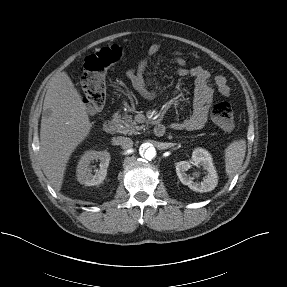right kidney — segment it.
I'll use <instances>...</instances> for the list:
<instances>
[{"mask_svg": "<svg viewBox=\"0 0 287 287\" xmlns=\"http://www.w3.org/2000/svg\"><path fill=\"white\" fill-rule=\"evenodd\" d=\"M94 160L100 161V168L92 174L91 162ZM110 153L107 151H86L77 165V180L86 186H94L103 182L107 175V168L109 166Z\"/></svg>", "mask_w": 287, "mask_h": 287, "instance_id": "obj_1", "label": "right kidney"}]
</instances>
